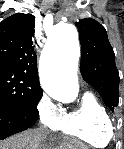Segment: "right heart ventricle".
Here are the masks:
<instances>
[{"mask_svg": "<svg viewBox=\"0 0 124 149\" xmlns=\"http://www.w3.org/2000/svg\"><path fill=\"white\" fill-rule=\"evenodd\" d=\"M110 126L105 106L92 93H85L77 108L64 113L56 130L89 146L103 148L112 137Z\"/></svg>", "mask_w": 124, "mask_h": 149, "instance_id": "e07e8e85", "label": "right heart ventricle"}]
</instances>
